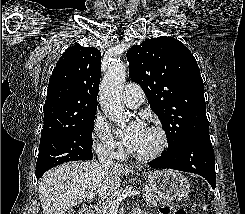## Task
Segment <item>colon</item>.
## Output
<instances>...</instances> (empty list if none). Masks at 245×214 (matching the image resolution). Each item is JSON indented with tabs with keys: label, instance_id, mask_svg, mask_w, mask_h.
<instances>
[{
	"label": "colon",
	"instance_id": "colon-1",
	"mask_svg": "<svg viewBox=\"0 0 245 214\" xmlns=\"http://www.w3.org/2000/svg\"><path fill=\"white\" fill-rule=\"evenodd\" d=\"M160 211L161 214H186L185 209L177 205H164Z\"/></svg>",
	"mask_w": 245,
	"mask_h": 214
}]
</instances>
